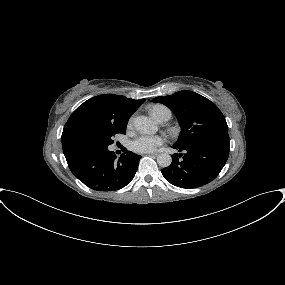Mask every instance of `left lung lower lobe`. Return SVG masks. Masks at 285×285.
Returning <instances> with one entry per match:
<instances>
[{
	"label": "left lung lower lobe",
	"mask_w": 285,
	"mask_h": 285,
	"mask_svg": "<svg viewBox=\"0 0 285 285\" xmlns=\"http://www.w3.org/2000/svg\"><path fill=\"white\" fill-rule=\"evenodd\" d=\"M173 148L184 154H174L171 165L161 172L169 183L186 189L197 188L214 180L229 156V145L217 142H200ZM181 156L182 160L179 159Z\"/></svg>",
	"instance_id": "obj_1"
}]
</instances>
